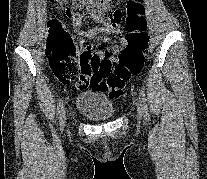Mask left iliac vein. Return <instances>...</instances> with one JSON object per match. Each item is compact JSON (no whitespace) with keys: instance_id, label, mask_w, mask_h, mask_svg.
Segmentation results:
<instances>
[{"instance_id":"obj_1","label":"left iliac vein","mask_w":207,"mask_h":179,"mask_svg":"<svg viewBox=\"0 0 207 179\" xmlns=\"http://www.w3.org/2000/svg\"><path fill=\"white\" fill-rule=\"evenodd\" d=\"M137 112H138V116L140 119H143L145 117V113L143 110L142 103L140 102V99L138 100V103H137Z\"/></svg>"}]
</instances>
